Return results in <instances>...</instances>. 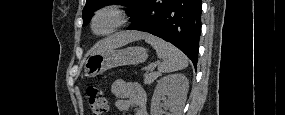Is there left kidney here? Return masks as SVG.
Masks as SVG:
<instances>
[{
  "instance_id": "obj_1",
  "label": "left kidney",
  "mask_w": 285,
  "mask_h": 115,
  "mask_svg": "<svg viewBox=\"0 0 285 115\" xmlns=\"http://www.w3.org/2000/svg\"><path fill=\"white\" fill-rule=\"evenodd\" d=\"M188 88L189 81L183 74H170L161 78L152 96L151 115H163V109H169L170 115H180Z\"/></svg>"
}]
</instances>
